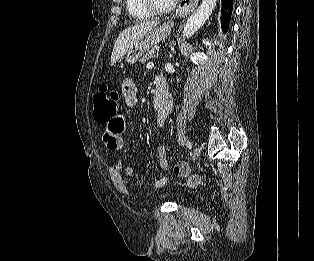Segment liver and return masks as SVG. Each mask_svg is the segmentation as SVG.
Instances as JSON below:
<instances>
[{"instance_id":"liver-1","label":"liver","mask_w":314,"mask_h":261,"mask_svg":"<svg viewBox=\"0 0 314 261\" xmlns=\"http://www.w3.org/2000/svg\"><path fill=\"white\" fill-rule=\"evenodd\" d=\"M158 24L159 21H146L123 30L114 43L111 65H114Z\"/></svg>"}]
</instances>
